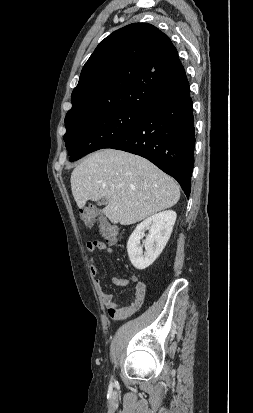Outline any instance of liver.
<instances>
[{
	"label": "liver",
	"mask_w": 253,
	"mask_h": 413,
	"mask_svg": "<svg viewBox=\"0 0 253 413\" xmlns=\"http://www.w3.org/2000/svg\"><path fill=\"white\" fill-rule=\"evenodd\" d=\"M71 189L79 208L105 198L103 214L121 225L142 221L180 198L173 178L141 156L114 149L97 151L76 166Z\"/></svg>",
	"instance_id": "obj_1"
}]
</instances>
